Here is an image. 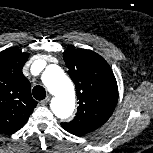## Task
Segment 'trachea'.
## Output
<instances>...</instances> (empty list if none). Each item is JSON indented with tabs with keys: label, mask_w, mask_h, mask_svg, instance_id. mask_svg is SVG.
Instances as JSON below:
<instances>
[{
	"label": "trachea",
	"mask_w": 153,
	"mask_h": 153,
	"mask_svg": "<svg viewBox=\"0 0 153 153\" xmlns=\"http://www.w3.org/2000/svg\"><path fill=\"white\" fill-rule=\"evenodd\" d=\"M32 94L34 96V98L36 100H43L46 97V91L45 89L40 86V85H36L33 90H32Z\"/></svg>",
	"instance_id": "trachea-1"
}]
</instances>
